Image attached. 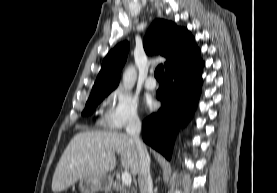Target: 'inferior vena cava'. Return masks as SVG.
I'll return each instance as SVG.
<instances>
[{
    "label": "inferior vena cava",
    "instance_id": "obj_1",
    "mask_svg": "<svg viewBox=\"0 0 277 193\" xmlns=\"http://www.w3.org/2000/svg\"><path fill=\"white\" fill-rule=\"evenodd\" d=\"M141 121L138 116H131L128 120L126 132L134 141L139 155L138 184L140 193H153V184L150 175V157L140 139Z\"/></svg>",
    "mask_w": 277,
    "mask_h": 193
}]
</instances>
